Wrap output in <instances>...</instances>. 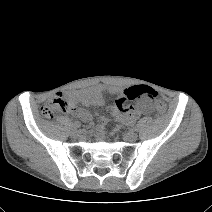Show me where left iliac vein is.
<instances>
[{
	"instance_id": "1",
	"label": "left iliac vein",
	"mask_w": 212,
	"mask_h": 212,
	"mask_svg": "<svg viewBox=\"0 0 212 212\" xmlns=\"http://www.w3.org/2000/svg\"><path fill=\"white\" fill-rule=\"evenodd\" d=\"M138 135L137 133H135L133 130L128 131L125 135H124V139L126 141L129 142H133L137 139Z\"/></svg>"
}]
</instances>
